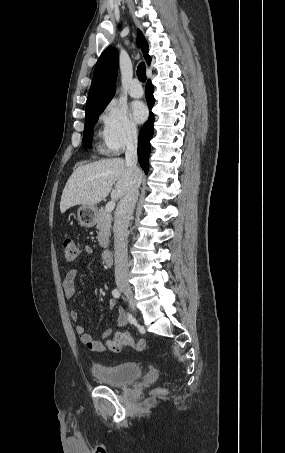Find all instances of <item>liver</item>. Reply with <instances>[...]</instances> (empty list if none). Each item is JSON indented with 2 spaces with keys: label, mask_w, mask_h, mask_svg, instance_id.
I'll use <instances>...</instances> for the list:
<instances>
[{
  "label": "liver",
  "mask_w": 285,
  "mask_h": 453,
  "mask_svg": "<svg viewBox=\"0 0 285 453\" xmlns=\"http://www.w3.org/2000/svg\"><path fill=\"white\" fill-rule=\"evenodd\" d=\"M133 180L134 171L122 158L81 165L73 171L64 187L60 202L61 213L75 205L94 207L109 193L113 200L122 199L129 192Z\"/></svg>",
  "instance_id": "1"
}]
</instances>
